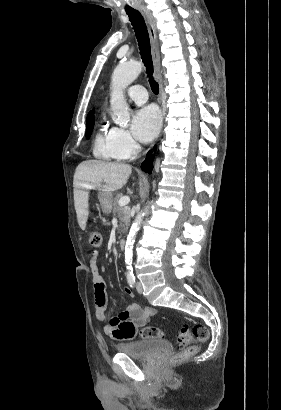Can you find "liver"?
I'll return each mask as SVG.
<instances>
[{"label": "liver", "mask_w": 281, "mask_h": 410, "mask_svg": "<svg viewBox=\"0 0 281 410\" xmlns=\"http://www.w3.org/2000/svg\"><path fill=\"white\" fill-rule=\"evenodd\" d=\"M131 172L132 168L128 164L101 160H86L77 166L73 180L74 205L82 230L86 229L89 216L87 190L98 188L112 193L126 184ZM102 182L105 184L102 185Z\"/></svg>", "instance_id": "1"}]
</instances>
